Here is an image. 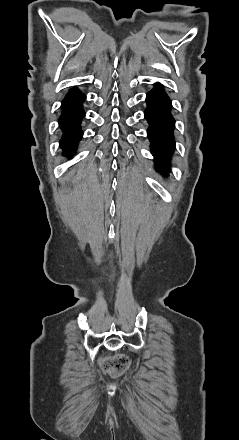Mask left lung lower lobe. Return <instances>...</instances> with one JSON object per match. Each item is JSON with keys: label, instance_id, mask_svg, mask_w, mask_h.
Masks as SVG:
<instances>
[{"label": "left lung lower lobe", "instance_id": "0a47b994", "mask_svg": "<svg viewBox=\"0 0 239 440\" xmlns=\"http://www.w3.org/2000/svg\"><path fill=\"white\" fill-rule=\"evenodd\" d=\"M145 118L149 122L148 137L157 170L167 173L169 160L175 148L173 129L175 120L170 113L171 101L162 90L161 84H155L147 94Z\"/></svg>", "mask_w": 239, "mask_h": 440}]
</instances>
